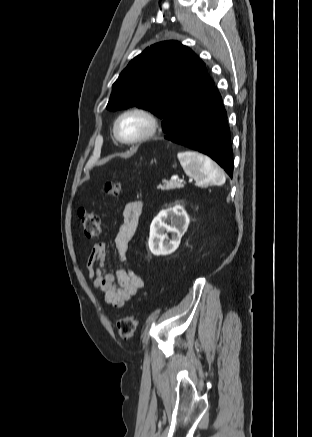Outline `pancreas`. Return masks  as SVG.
<instances>
[{
    "mask_svg": "<svg viewBox=\"0 0 312 437\" xmlns=\"http://www.w3.org/2000/svg\"><path fill=\"white\" fill-rule=\"evenodd\" d=\"M184 184L178 182V181H167L165 184L163 185H159L158 188L161 190H173V189H180L183 188Z\"/></svg>",
    "mask_w": 312,
    "mask_h": 437,
    "instance_id": "1",
    "label": "pancreas"
}]
</instances>
